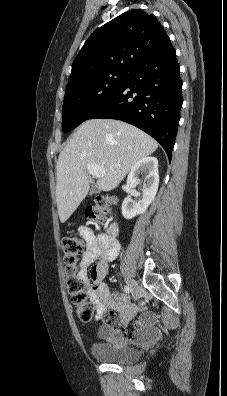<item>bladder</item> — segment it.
<instances>
[{
	"mask_svg": "<svg viewBox=\"0 0 227 396\" xmlns=\"http://www.w3.org/2000/svg\"><path fill=\"white\" fill-rule=\"evenodd\" d=\"M90 353L99 361L119 365L133 363L140 357L137 349L125 344L93 343Z\"/></svg>",
	"mask_w": 227,
	"mask_h": 396,
	"instance_id": "31cf9c89",
	"label": "bladder"
}]
</instances>
